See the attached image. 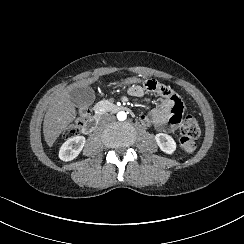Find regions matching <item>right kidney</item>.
<instances>
[{
  "label": "right kidney",
  "mask_w": 244,
  "mask_h": 244,
  "mask_svg": "<svg viewBox=\"0 0 244 244\" xmlns=\"http://www.w3.org/2000/svg\"><path fill=\"white\" fill-rule=\"evenodd\" d=\"M85 144L84 136H75L69 138L63 143L59 150V158L63 161H71L82 151Z\"/></svg>",
  "instance_id": "ca27d5eb"
}]
</instances>
